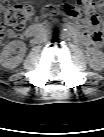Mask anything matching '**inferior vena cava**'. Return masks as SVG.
<instances>
[{
	"label": "inferior vena cava",
	"mask_w": 104,
	"mask_h": 137,
	"mask_svg": "<svg viewBox=\"0 0 104 137\" xmlns=\"http://www.w3.org/2000/svg\"><path fill=\"white\" fill-rule=\"evenodd\" d=\"M35 40H36V42L41 43V42H43L44 37H43V35L38 34V35H36Z\"/></svg>",
	"instance_id": "602c4592"
}]
</instances>
